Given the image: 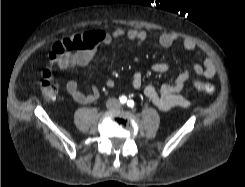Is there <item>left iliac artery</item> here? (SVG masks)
Here are the masks:
<instances>
[{
    "instance_id": "obj_1",
    "label": "left iliac artery",
    "mask_w": 245,
    "mask_h": 187,
    "mask_svg": "<svg viewBox=\"0 0 245 187\" xmlns=\"http://www.w3.org/2000/svg\"><path fill=\"white\" fill-rule=\"evenodd\" d=\"M127 105H128V107L133 108L134 107V101L128 100Z\"/></svg>"
}]
</instances>
